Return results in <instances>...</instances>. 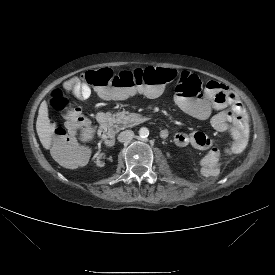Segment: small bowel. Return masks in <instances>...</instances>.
I'll return each mask as SVG.
<instances>
[{
  "instance_id": "small-bowel-1",
  "label": "small bowel",
  "mask_w": 275,
  "mask_h": 275,
  "mask_svg": "<svg viewBox=\"0 0 275 275\" xmlns=\"http://www.w3.org/2000/svg\"><path fill=\"white\" fill-rule=\"evenodd\" d=\"M76 83H79L76 79H70L64 83V87L72 90ZM198 93L187 89L179 90L175 95V100L185 112L194 118L209 119L216 131L229 133L231 152L241 153L248 142L249 121L238 96L216 81L208 82L204 91L201 94ZM163 130L167 131L168 136V130ZM175 138L178 143H191L197 152L204 153L198 161L200 173L204 178L213 179L220 175L222 170L220 162L223 155L218 148L213 147V140L210 136L203 132H180Z\"/></svg>"
}]
</instances>
